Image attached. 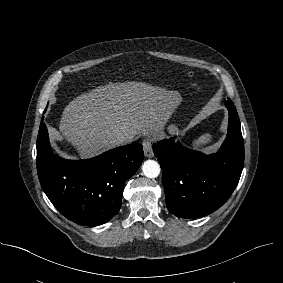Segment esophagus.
<instances>
[{
    "label": "esophagus",
    "instance_id": "obj_1",
    "mask_svg": "<svg viewBox=\"0 0 283 283\" xmlns=\"http://www.w3.org/2000/svg\"><path fill=\"white\" fill-rule=\"evenodd\" d=\"M144 155L148 158H152L154 156V152L152 149V142L150 139H144L142 142Z\"/></svg>",
    "mask_w": 283,
    "mask_h": 283
}]
</instances>
